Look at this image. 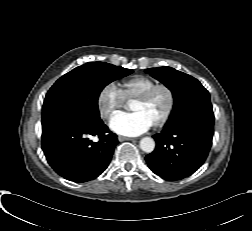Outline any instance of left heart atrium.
<instances>
[{
	"label": "left heart atrium",
	"instance_id": "obj_1",
	"mask_svg": "<svg viewBox=\"0 0 252 231\" xmlns=\"http://www.w3.org/2000/svg\"><path fill=\"white\" fill-rule=\"evenodd\" d=\"M153 123L141 112L119 113L110 120V128L123 136H138L147 132Z\"/></svg>",
	"mask_w": 252,
	"mask_h": 231
}]
</instances>
